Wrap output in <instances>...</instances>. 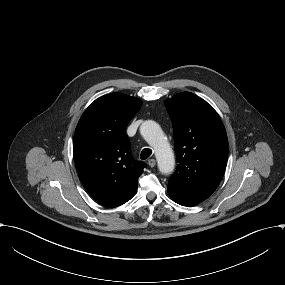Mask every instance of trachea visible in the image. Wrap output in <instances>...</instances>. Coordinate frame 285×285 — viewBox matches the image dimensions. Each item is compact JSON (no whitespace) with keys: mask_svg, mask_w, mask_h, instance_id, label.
I'll return each mask as SVG.
<instances>
[{"mask_svg":"<svg viewBox=\"0 0 285 285\" xmlns=\"http://www.w3.org/2000/svg\"><path fill=\"white\" fill-rule=\"evenodd\" d=\"M151 154H152V150L149 149V148H145V149L142 150L140 158H141L142 160H145V159H147Z\"/></svg>","mask_w":285,"mask_h":285,"instance_id":"1","label":"trachea"}]
</instances>
